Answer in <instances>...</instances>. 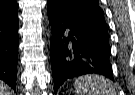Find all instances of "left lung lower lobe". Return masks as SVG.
Returning a JSON list of instances; mask_svg holds the SVG:
<instances>
[{
    "label": "left lung lower lobe",
    "instance_id": "left-lung-lower-lobe-1",
    "mask_svg": "<svg viewBox=\"0 0 135 95\" xmlns=\"http://www.w3.org/2000/svg\"><path fill=\"white\" fill-rule=\"evenodd\" d=\"M52 30L50 59L55 93L70 78L95 73L113 79L107 28L60 15L48 7Z\"/></svg>",
    "mask_w": 135,
    "mask_h": 95
}]
</instances>
